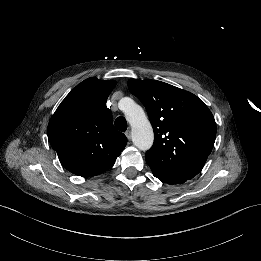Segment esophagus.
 Instances as JSON below:
<instances>
[{"mask_svg":"<svg viewBox=\"0 0 261 261\" xmlns=\"http://www.w3.org/2000/svg\"><path fill=\"white\" fill-rule=\"evenodd\" d=\"M126 137L128 138V140H131V132L128 130L125 132Z\"/></svg>","mask_w":261,"mask_h":261,"instance_id":"34e87169","label":"esophagus"}]
</instances>
